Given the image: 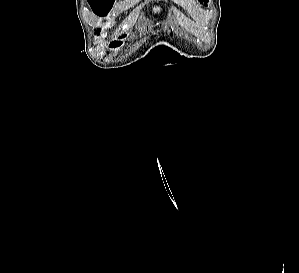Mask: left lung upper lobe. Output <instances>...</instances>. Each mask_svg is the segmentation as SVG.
I'll use <instances>...</instances> for the list:
<instances>
[{"instance_id": "5c2ea615", "label": "left lung upper lobe", "mask_w": 299, "mask_h": 273, "mask_svg": "<svg viewBox=\"0 0 299 273\" xmlns=\"http://www.w3.org/2000/svg\"><path fill=\"white\" fill-rule=\"evenodd\" d=\"M200 2H204V5H207L208 0H199Z\"/></svg>"}]
</instances>
